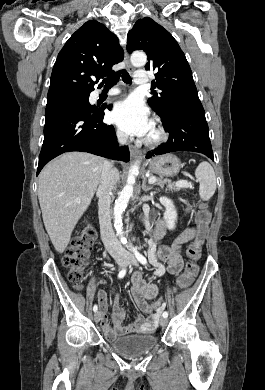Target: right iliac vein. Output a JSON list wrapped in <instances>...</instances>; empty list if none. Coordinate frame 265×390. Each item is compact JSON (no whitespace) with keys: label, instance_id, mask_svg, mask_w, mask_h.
<instances>
[{"label":"right iliac vein","instance_id":"right-iliac-vein-1","mask_svg":"<svg viewBox=\"0 0 265 390\" xmlns=\"http://www.w3.org/2000/svg\"><path fill=\"white\" fill-rule=\"evenodd\" d=\"M115 262H116V264H117L119 267H122V266L124 265V263H125V258L122 257V256H116V257H115ZM100 318H101V313H100V311H96V312L94 313V320H95V322H99V321H100Z\"/></svg>","mask_w":265,"mask_h":390}]
</instances>
